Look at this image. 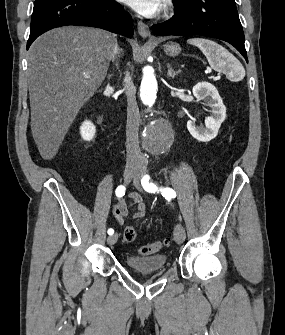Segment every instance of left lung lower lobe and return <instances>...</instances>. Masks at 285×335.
I'll return each instance as SVG.
<instances>
[{"label":"left lung lower lobe","instance_id":"0a47b994","mask_svg":"<svg viewBox=\"0 0 285 335\" xmlns=\"http://www.w3.org/2000/svg\"><path fill=\"white\" fill-rule=\"evenodd\" d=\"M175 15L152 26L160 36L203 35L232 44L246 59L244 33L235 0H173Z\"/></svg>","mask_w":285,"mask_h":335}]
</instances>
